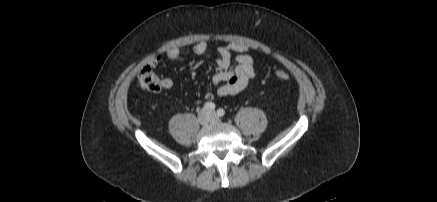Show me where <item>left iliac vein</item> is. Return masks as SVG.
Listing matches in <instances>:
<instances>
[{
  "mask_svg": "<svg viewBox=\"0 0 437 202\" xmlns=\"http://www.w3.org/2000/svg\"><path fill=\"white\" fill-rule=\"evenodd\" d=\"M210 114H211L213 120H215V121H219L218 119L214 118V113L211 112Z\"/></svg>",
  "mask_w": 437,
  "mask_h": 202,
  "instance_id": "left-iliac-vein-1",
  "label": "left iliac vein"
}]
</instances>
